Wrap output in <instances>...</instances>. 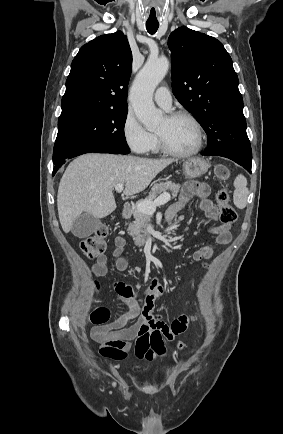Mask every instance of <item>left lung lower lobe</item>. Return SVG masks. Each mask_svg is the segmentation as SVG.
I'll return each instance as SVG.
<instances>
[{"label":"left lung lower lobe","mask_w":283,"mask_h":434,"mask_svg":"<svg viewBox=\"0 0 283 434\" xmlns=\"http://www.w3.org/2000/svg\"><path fill=\"white\" fill-rule=\"evenodd\" d=\"M202 155H208L206 152H203ZM238 164L243 166L247 171L251 173V159L240 161Z\"/></svg>","instance_id":"obj_1"}]
</instances>
